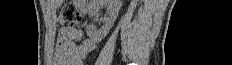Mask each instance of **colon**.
Here are the masks:
<instances>
[{
	"mask_svg": "<svg viewBox=\"0 0 232 65\" xmlns=\"http://www.w3.org/2000/svg\"><path fill=\"white\" fill-rule=\"evenodd\" d=\"M81 13L72 4L64 5L58 15V25L62 29L72 28L81 22Z\"/></svg>",
	"mask_w": 232,
	"mask_h": 65,
	"instance_id": "5ec220e1",
	"label": "colon"
}]
</instances>
